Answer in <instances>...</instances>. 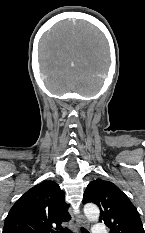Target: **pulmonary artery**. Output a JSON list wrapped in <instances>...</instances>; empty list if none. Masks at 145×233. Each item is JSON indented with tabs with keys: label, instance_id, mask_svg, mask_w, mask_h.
<instances>
[{
	"label": "pulmonary artery",
	"instance_id": "obj_1",
	"mask_svg": "<svg viewBox=\"0 0 145 233\" xmlns=\"http://www.w3.org/2000/svg\"><path fill=\"white\" fill-rule=\"evenodd\" d=\"M92 232L93 233H108V231L105 229L102 223H96Z\"/></svg>",
	"mask_w": 145,
	"mask_h": 233
}]
</instances>
